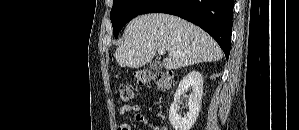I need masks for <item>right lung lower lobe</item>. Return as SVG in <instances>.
<instances>
[{"label":"right lung lower lobe","mask_w":299,"mask_h":130,"mask_svg":"<svg viewBox=\"0 0 299 130\" xmlns=\"http://www.w3.org/2000/svg\"><path fill=\"white\" fill-rule=\"evenodd\" d=\"M233 0H151L139 13H168L184 18L208 32L230 53Z\"/></svg>","instance_id":"obj_1"}]
</instances>
